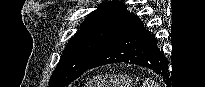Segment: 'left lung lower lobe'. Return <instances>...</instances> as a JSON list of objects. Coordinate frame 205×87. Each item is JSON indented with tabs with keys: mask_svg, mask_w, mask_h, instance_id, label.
<instances>
[{
	"mask_svg": "<svg viewBox=\"0 0 205 87\" xmlns=\"http://www.w3.org/2000/svg\"><path fill=\"white\" fill-rule=\"evenodd\" d=\"M120 62L147 67L163 79L168 76V62L157 47L154 34L133 13L127 14L88 70Z\"/></svg>",
	"mask_w": 205,
	"mask_h": 87,
	"instance_id": "0a47b994",
	"label": "left lung lower lobe"
}]
</instances>
